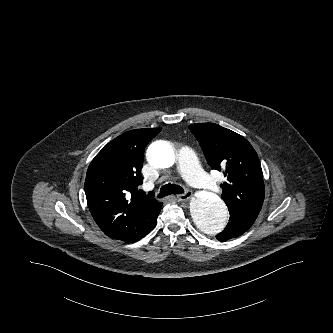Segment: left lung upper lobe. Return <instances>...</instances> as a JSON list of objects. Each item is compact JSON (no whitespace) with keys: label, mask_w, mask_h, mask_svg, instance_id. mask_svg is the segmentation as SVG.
I'll return each instance as SVG.
<instances>
[{"label":"left lung upper lobe","mask_w":333,"mask_h":333,"mask_svg":"<svg viewBox=\"0 0 333 333\" xmlns=\"http://www.w3.org/2000/svg\"><path fill=\"white\" fill-rule=\"evenodd\" d=\"M212 169L222 171L221 184L229 212L256 219L264 201L263 173L257 153L241 135L215 123L189 126Z\"/></svg>","instance_id":"left-lung-upper-lobe-1"}]
</instances>
